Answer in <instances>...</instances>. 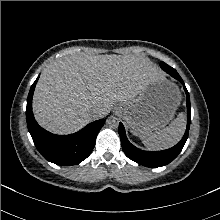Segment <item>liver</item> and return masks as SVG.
<instances>
[{
  "label": "liver",
  "mask_w": 220,
  "mask_h": 220,
  "mask_svg": "<svg viewBox=\"0 0 220 220\" xmlns=\"http://www.w3.org/2000/svg\"><path fill=\"white\" fill-rule=\"evenodd\" d=\"M161 75L154 63L140 56L72 54L43 70L33 113L48 131L73 133L104 117L116 102L134 99ZM93 108L99 109L95 116L90 114Z\"/></svg>",
  "instance_id": "1"
}]
</instances>
